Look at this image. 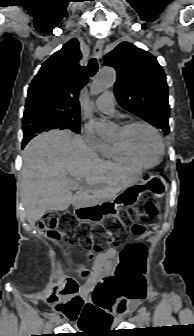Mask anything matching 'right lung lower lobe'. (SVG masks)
I'll use <instances>...</instances> for the list:
<instances>
[{
    "label": "right lung lower lobe",
    "mask_w": 194,
    "mask_h": 336,
    "mask_svg": "<svg viewBox=\"0 0 194 336\" xmlns=\"http://www.w3.org/2000/svg\"><path fill=\"white\" fill-rule=\"evenodd\" d=\"M28 142H24L22 143V149L25 147V145L27 144Z\"/></svg>",
    "instance_id": "obj_1"
}]
</instances>
